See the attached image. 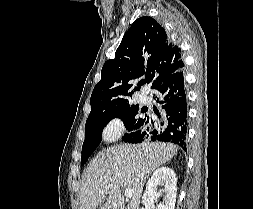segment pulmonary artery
Instances as JSON below:
<instances>
[{
  "mask_svg": "<svg viewBox=\"0 0 253 209\" xmlns=\"http://www.w3.org/2000/svg\"><path fill=\"white\" fill-rule=\"evenodd\" d=\"M139 101H140L141 103H143V104H146V103L149 102V98H148L147 95L141 94V95L139 96Z\"/></svg>",
  "mask_w": 253,
  "mask_h": 209,
  "instance_id": "e3ab8cb5",
  "label": "pulmonary artery"
}]
</instances>
